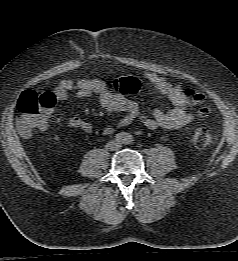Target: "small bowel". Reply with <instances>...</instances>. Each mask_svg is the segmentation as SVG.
Wrapping results in <instances>:
<instances>
[{"label":"small bowel","mask_w":238,"mask_h":261,"mask_svg":"<svg viewBox=\"0 0 238 261\" xmlns=\"http://www.w3.org/2000/svg\"><path fill=\"white\" fill-rule=\"evenodd\" d=\"M142 76L151 84L155 92L169 99L173 104V108L167 111L155 109L150 113H143L136 102L127 99L119 92L111 90L106 82L94 78L61 80L50 93L55 97L56 101L71 98L85 99L96 96L100 107L106 113L124 112V116L118 119L116 123L105 127L103 132L106 135L111 134L117 127L128 126L136 120H139L149 130L163 129L167 131L179 129L194 120L197 105L184 94L182 85H173L152 72H145ZM48 115L49 112L41 129L46 128ZM67 126L85 132H91L93 129L90 122L79 117L70 118Z\"/></svg>","instance_id":"small-bowel-1"}]
</instances>
